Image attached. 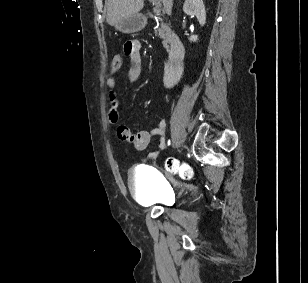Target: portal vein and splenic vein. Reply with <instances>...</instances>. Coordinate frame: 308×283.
Instances as JSON below:
<instances>
[{"mask_svg":"<svg viewBox=\"0 0 308 283\" xmlns=\"http://www.w3.org/2000/svg\"><path fill=\"white\" fill-rule=\"evenodd\" d=\"M153 5H155L156 9L161 7V0H151Z\"/></svg>","mask_w":308,"mask_h":283,"instance_id":"1","label":"portal vein and splenic vein"}]
</instances>
